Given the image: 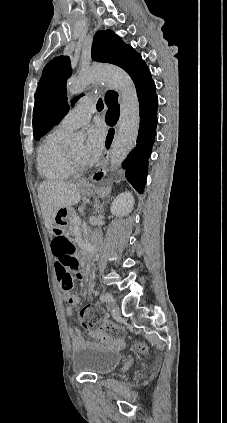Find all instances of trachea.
Segmentation results:
<instances>
[{
	"mask_svg": "<svg viewBox=\"0 0 227 423\" xmlns=\"http://www.w3.org/2000/svg\"><path fill=\"white\" fill-rule=\"evenodd\" d=\"M96 108H97L98 111L103 110L104 105H103V101H102L101 98H99V100L97 101Z\"/></svg>",
	"mask_w": 227,
	"mask_h": 423,
	"instance_id": "1",
	"label": "trachea"
}]
</instances>
